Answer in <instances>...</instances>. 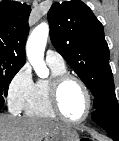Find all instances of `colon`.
<instances>
[{"instance_id": "obj_1", "label": "colon", "mask_w": 119, "mask_h": 141, "mask_svg": "<svg viewBox=\"0 0 119 141\" xmlns=\"http://www.w3.org/2000/svg\"><path fill=\"white\" fill-rule=\"evenodd\" d=\"M78 141H91V139L90 138L83 137V138L79 139Z\"/></svg>"}]
</instances>
